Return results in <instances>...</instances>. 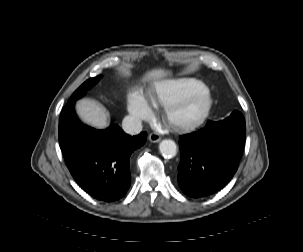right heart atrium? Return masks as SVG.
Segmentation results:
<instances>
[{
    "instance_id": "1",
    "label": "right heart atrium",
    "mask_w": 303,
    "mask_h": 252,
    "mask_svg": "<svg viewBox=\"0 0 303 252\" xmlns=\"http://www.w3.org/2000/svg\"><path fill=\"white\" fill-rule=\"evenodd\" d=\"M126 108L131 118L136 122L147 120L153 113L150 104L136 91L129 93L126 101Z\"/></svg>"
}]
</instances>
